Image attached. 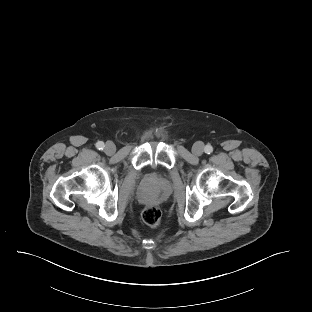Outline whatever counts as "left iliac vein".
<instances>
[{
	"instance_id": "4c4485c4",
	"label": "left iliac vein",
	"mask_w": 312,
	"mask_h": 312,
	"mask_svg": "<svg viewBox=\"0 0 312 312\" xmlns=\"http://www.w3.org/2000/svg\"><path fill=\"white\" fill-rule=\"evenodd\" d=\"M192 152L196 156H201L204 152V145L201 142H196L192 147Z\"/></svg>"
}]
</instances>
